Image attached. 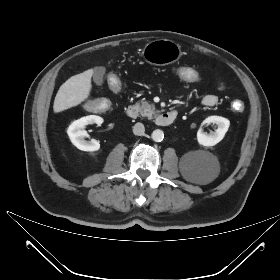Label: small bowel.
<instances>
[{"label": "small bowel", "mask_w": 280, "mask_h": 280, "mask_svg": "<svg viewBox=\"0 0 280 280\" xmlns=\"http://www.w3.org/2000/svg\"><path fill=\"white\" fill-rule=\"evenodd\" d=\"M218 101H219L218 95H216V94H206L202 98V105L204 107L211 108V107H214L215 105H217Z\"/></svg>", "instance_id": "small-bowel-1"}]
</instances>
